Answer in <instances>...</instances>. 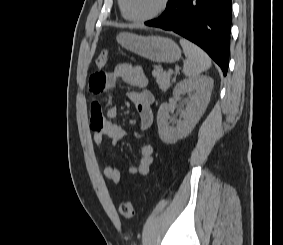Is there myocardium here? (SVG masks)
<instances>
[{
	"label": "myocardium",
	"instance_id": "myocardium-1",
	"mask_svg": "<svg viewBox=\"0 0 283 245\" xmlns=\"http://www.w3.org/2000/svg\"><path fill=\"white\" fill-rule=\"evenodd\" d=\"M170 0H161L159 7L151 14L143 17H132L129 16L125 9V0H119V6L123 17L132 22H146L159 17L165 12L169 5Z\"/></svg>",
	"mask_w": 283,
	"mask_h": 245
}]
</instances>
